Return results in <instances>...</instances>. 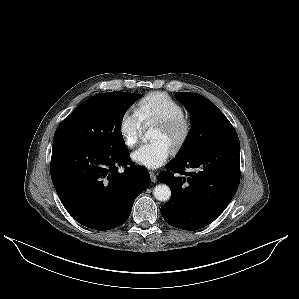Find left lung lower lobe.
<instances>
[{
  "mask_svg": "<svg viewBox=\"0 0 299 299\" xmlns=\"http://www.w3.org/2000/svg\"><path fill=\"white\" fill-rule=\"evenodd\" d=\"M239 149V138L235 135L197 156L175 159L166 167L158 181L172 191L170 200L161 207L168 224L183 230H198L225 210L240 182ZM187 168L195 172H184Z\"/></svg>",
  "mask_w": 299,
  "mask_h": 299,
  "instance_id": "left-lung-lower-lobe-1",
  "label": "left lung lower lobe"
}]
</instances>
